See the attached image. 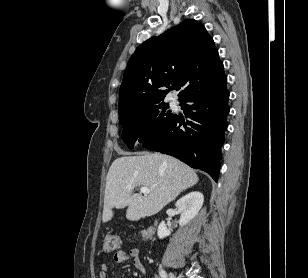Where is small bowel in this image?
Segmentation results:
<instances>
[{"mask_svg": "<svg viewBox=\"0 0 308 278\" xmlns=\"http://www.w3.org/2000/svg\"><path fill=\"white\" fill-rule=\"evenodd\" d=\"M113 259L117 263H123L132 260L135 268L141 274H145V269L141 261L140 250L138 248H132L129 250H118L114 253ZM108 270H109L108 264L102 263L100 266L99 278H109Z\"/></svg>", "mask_w": 308, "mask_h": 278, "instance_id": "obj_1", "label": "small bowel"}]
</instances>
